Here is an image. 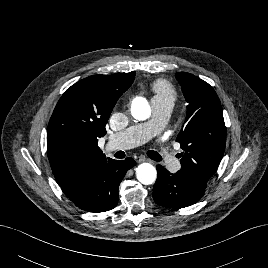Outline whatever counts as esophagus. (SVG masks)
<instances>
[{
  "label": "esophagus",
  "mask_w": 268,
  "mask_h": 268,
  "mask_svg": "<svg viewBox=\"0 0 268 268\" xmlns=\"http://www.w3.org/2000/svg\"><path fill=\"white\" fill-rule=\"evenodd\" d=\"M149 159L145 156H139L138 159H137V162L138 163H142V162H148Z\"/></svg>",
  "instance_id": "esophagus-1"
}]
</instances>
